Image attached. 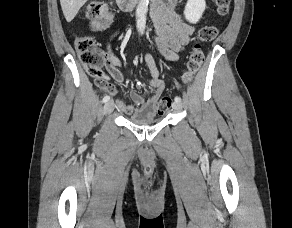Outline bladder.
I'll return each mask as SVG.
<instances>
[{"mask_svg":"<svg viewBox=\"0 0 292 228\" xmlns=\"http://www.w3.org/2000/svg\"><path fill=\"white\" fill-rule=\"evenodd\" d=\"M128 120L136 125H151L159 121L155 116H147L143 114H135L129 116Z\"/></svg>","mask_w":292,"mask_h":228,"instance_id":"bladder-1","label":"bladder"}]
</instances>
